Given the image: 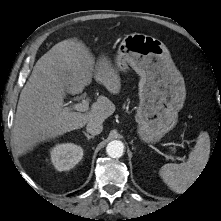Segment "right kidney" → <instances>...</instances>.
I'll use <instances>...</instances> for the list:
<instances>
[{
	"instance_id": "ca27d5eb",
	"label": "right kidney",
	"mask_w": 221,
	"mask_h": 221,
	"mask_svg": "<svg viewBox=\"0 0 221 221\" xmlns=\"http://www.w3.org/2000/svg\"><path fill=\"white\" fill-rule=\"evenodd\" d=\"M51 162L58 171L70 170L83 157V149L73 143H62L50 151Z\"/></svg>"
}]
</instances>
